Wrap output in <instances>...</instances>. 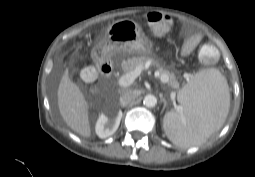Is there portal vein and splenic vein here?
I'll return each instance as SVG.
<instances>
[{
  "label": "portal vein and splenic vein",
  "instance_id": "portal-vein-and-splenic-vein-1",
  "mask_svg": "<svg viewBox=\"0 0 255 177\" xmlns=\"http://www.w3.org/2000/svg\"><path fill=\"white\" fill-rule=\"evenodd\" d=\"M142 70H143V66L140 65L134 71L121 76L119 81H118L119 85L121 87L130 86L131 84H133L135 79L141 74Z\"/></svg>",
  "mask_w": 255,
  "mask_h": 177
}]
</instances>
